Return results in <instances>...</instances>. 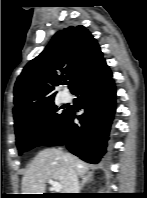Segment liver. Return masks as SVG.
<instances>
[{
	"instance_id": "6515ba94",
	"label": "liver",
	"mask_w": 147,
	"mask_h": 198,
	"mask_svg": "<svg viewBox=\"0 0 147 198\" xmlns=\"http://www.w3.org/2000/svg\"><path fill=\"white\" fill-rule=\"evenodd\" d=\"M72 168L77 175L88 171L87 164L60 148H46L40 151L29 165L22 178V194H43L49 179L61 184L62 192L69 187L68 173Z\"/></svg>"
}]
</instances>
